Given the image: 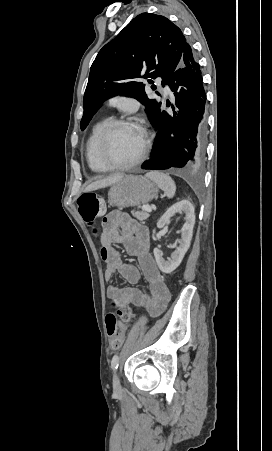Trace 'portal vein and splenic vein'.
Segmentation results:
<instances>
[{"label": "portal vein and splenic vein", "instance_id": "portal-vein-and-splenic-vein-1", "mask_svg": "<svg viewBox=\"0 0 272 451\" xmlns=\"http://www.w3.org/2000/svg\"><path fill=\"white\" fill-rule=\"evenodd\" d=\"M141 210H143V212H152V208H150V206H142Z\"/></svg>", "mask_w": 272, "mask_h": 451}]
</instances>
